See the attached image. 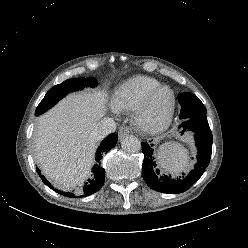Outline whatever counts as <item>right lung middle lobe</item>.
Returning a JSON list of instances; mask_svg holds the SVG:
<instances>
[{
    "label": "right lung middle lobe",
    "instance_id": "dd1d6c3e",
    "mask_svg": "<svg viewBox=\"0 0 248 248\" xmlns=\"http://www.w3.org/2000/svg\"><path fill=\"white\" fill-rule=\"evenodd\" d=\"M95 85H96L95 78H87V79L79 78V79L66 80L63 83L52 87L47 92L43 100L38 105L35 111V115L38 116L44 113L49 108L54 106L60 99H62L68 93L81 90L84 87H94Z\"/></svg>",
    "mask_w": 248,
    "mask_h": 248
}]
</instances>
